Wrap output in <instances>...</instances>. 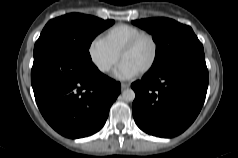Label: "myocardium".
Returning <instances> with one entry per match:
<instances>
[{"mask_svg":"<svg viewBox=\"0 0 238 158\" xmlns=\"http://www.w3.org/2000/svg\"><path fill=\"white\" fill-rule=\"evenodd\" d=\"M144 38H148L151 43H152V46H153V54H152V58L151 60L149 61V63L144 67L142 68L139 72L140 73H146L148 71H150L153 66L155 65L157 59H158V54H159V45H158V42L156 40V38L151 34V33H148V32H142L136 36H134L133 38H131L125 45L124 47L122 48V50L120 51V59L123 58V56L129 52L130 50H132L142 39Z\"/></svg>","mask_w":238,"mask_h":158,"instance_id":"f54148a6","label":"myocardium"}]
</instances>
